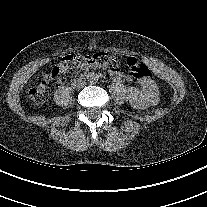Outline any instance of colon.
<instances>
[{
	"instance_id": "5ec220e1",
	"label": "colon",
	"mask_w": 207,
	"mask_h": 207,
	"mask_svg": "<svg viewBox=\"0 0 207 207\" xmlns=\"http://www.w3.org/2000/svg\"><path fill=\"white\" fill-rule=\"evenodd\" d=\"M116 63L115 57L107 52L64 56L51 68L49 74L29 90L30 101L34 106H42L47 100V90L51 81L71 70L88 67L113 68ZM127 65L132 76L137 79H146L151 75L149 67L134 58H129Z\"/></svg>"
}]
</instances>
